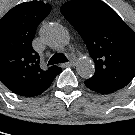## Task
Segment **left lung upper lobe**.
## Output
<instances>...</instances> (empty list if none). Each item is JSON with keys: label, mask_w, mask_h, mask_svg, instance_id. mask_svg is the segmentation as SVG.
<instances>
[{"label": "left lung upper lobe", "mask_w": 135, "mask_h": 135, "mask_svg": "<svg viewBox=\"0 0 135 135\" xmlns=\"http://www.w3.org/2000/svg\"><path fill=\"white\" fill-rule=\"evenodd\" d=\"M95 62L87 81L117 91L135 76V32L100 0H72L61 7Z\"/></svg>", "instance_id": "obj_1"}]
</instances>
